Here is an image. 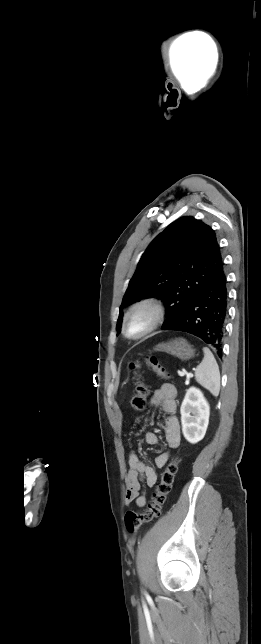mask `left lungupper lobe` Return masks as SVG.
I'll return each instance as SVG.
<instances>
[{"label":"left lung upper lobe","mask_w":261,"mask_h":644,"mask_svg":"<svg viewBox=\"0 0 261 644\" xmlns=\"http://www.w3.org/2000/svg\"><path fill=\"white\" fill-rule=\"evenodd\" d=\"M222 255L216 235L208 225L193 217H183L169 225L149 245L129 282L120 307L143 298H161L166 306V321L173 323L203 288Z\"/></svg>","instance_id":"obj_1"}]
</instances>
